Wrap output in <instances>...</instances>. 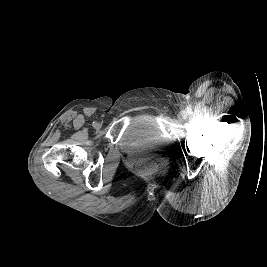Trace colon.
Listing matches in <instances>:
<instances>
[{"instance_id":"5ec220e1","label":"colon","mask_w":267,"mask_h":267,"mask_svg":"<svg viewBox=\"0 0 267 267\" xmlns=\"http://www.w3.org/2000/svg\"><path fill=\"white\" fill-rule=\"evenodd\" d=\"M139 173L143 177H151L156 173L157 167L150 161H143L138 164Z\"/></svg>"}]
</instances>
